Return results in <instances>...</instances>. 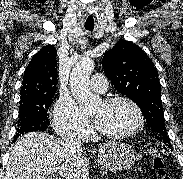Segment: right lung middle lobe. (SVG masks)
<instances>
[{"instance_id": "1", "label": "right lung middle lobe", "mask_w": 183, "mask_h": 179, "mask_svg": "<svg viewBox=\"0 0 183 179\" xmlns=\"http://www.w3.org/2000/svg\"><path fill=\"white\" fill-rule=\"evenodd\" d=\"M54 96H45L21 101L18 115V128L15 139L33 131H44L50 125L48 109Z\"/></svg>"}]
</instances>
